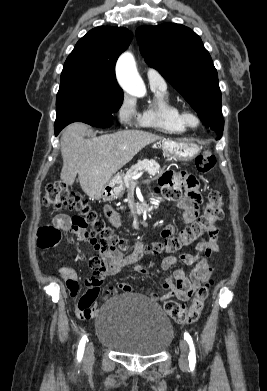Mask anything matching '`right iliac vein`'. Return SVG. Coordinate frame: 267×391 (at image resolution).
<instances>
[{"instance_id": "63e3f726", "label": "right iliac vein", "mask_w": 267, "mask_h": 391, "mask_svg": "<svg viewBox=\"0 0 267 391\" xmlns=\"http://www.w3.org/2000/svg\"><path fill=\"white\" fill-rule=\"evenodd\" d=\"M94 360V345L93 342H89L86 346L84 364L85 366H90Z\"/></svg>"}]
</instances>
